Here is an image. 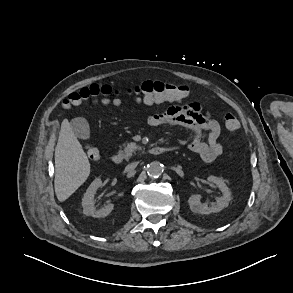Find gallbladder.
<instances>
[{
  "label": "gallbladder",
  "mask_w": 293,
  "mask_h": 293,
  "mask_svg": "<svg viewBox=\"0 0 293 293\" xmlns=\"http://www.w3.org/2000/svg\"><path fill=\"white\" fill-rule=\"evenodd\" d=\"M71 128L75 135L82 139L87 140L90 138V128L87 120L83 117H77L71 120Z\"/></svg>",
  "instance_id": "gallbladder-1"
}]
</instances>
